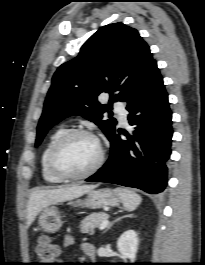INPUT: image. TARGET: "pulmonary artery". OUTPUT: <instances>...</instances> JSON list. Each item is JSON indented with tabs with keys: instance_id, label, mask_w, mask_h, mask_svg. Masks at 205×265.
<instances>
[{
	"instance_id": "1",
	"label": "pulmonary artery",
	"mask_w": 205,
	"mask_h": 265,
	"mask_svg": "<svg viewBox=\"0 0 205 265\" xmlns=\"http://www.w3.org/2000/svg\"><path fill=\"white\" fill-rule=\"evenodd\" d=\"M115 111L119 115L121 122L125 124L127 122V110L125 105L122 102H116Z\"/></svg>"
}]
</instances>
